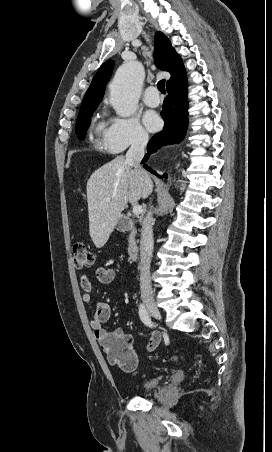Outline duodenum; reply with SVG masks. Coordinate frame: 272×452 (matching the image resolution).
Masks as SVG:
<instances>
[{
  "instance_id": "1",
  "label": "duodenum",
  "mask_w": 272,
  "mask_h": 452,
  "mask_svg": "<svg viewBox=\"0 0 272 452\" xmlns=\"http://www.w3.org/2000/svg\"><path fill=\"white\" fill-rule=\"evenodd\" d=\"M119 229L124 232L134 231L135 230L134 223L128 217L124 216L120 221ZM127 254L129 259L131 260L137 259L139 255V245L137 244L135 238L130 240L127 246Z\"/></svg>"
}]
</instances>
